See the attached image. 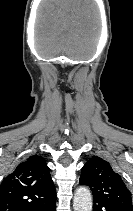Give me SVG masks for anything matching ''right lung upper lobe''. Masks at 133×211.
<instances>
[{
  "label": "right lung upper lobe",
  "mask_w": 133,
  "mask_h": 211,
  "mask_svg": "<svg viewBox=\"0 0 133 211\" xmlns=\"http://www.w3.org/2000/svg\"><path fill=\"white\" fill-rule=\"evenodd\" d=\"M49 167L41 156H30L0 185V211H34L55 198Z\"/></svg>",
  "instance_id": "cb5924a9"
}]
</instances>
